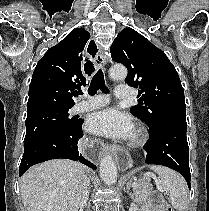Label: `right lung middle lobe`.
Here are the masks:
<instances>
[{
  "label": "right lung middle lobe",
  "mask_w": 209,
  "mask_h": 211,
  "mask_svg": "<svg viewBox=\"0 0 209 211\" xmlns=\"http://www.w3.org/2000/svg\"><path fill=\"white\" fill-rule=\"evenodd\" d=\"M70 108H43L27 112L24 150L41 139L75 126L80 120L70 117Z\"/></svg>",
  "instance_id": "1"
}]
</instances>
